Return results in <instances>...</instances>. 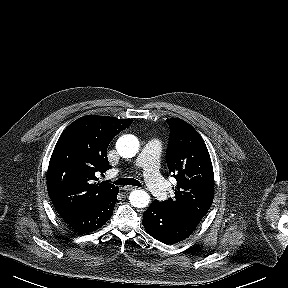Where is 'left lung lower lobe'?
I'll return each instance as SVG.
<instances>
[{
  "label": "left lung lower lobe",
  "instance_id": "left-lung-lower-lobe-1",
  "mask_svg": "<svg viewBox=\"0 0 288 288\" xmlns=\"http://www.w3.org/2000/svg\"><path fill=\"white\" fill-rule=\"evenodd\" d=\"M142 223L149 235L164 244L186 239L198 225L167 211L156 200L144 212Z\"/></svg>",
  "mask_w": 288,
  "mask_h": 288
}]
</instances>
